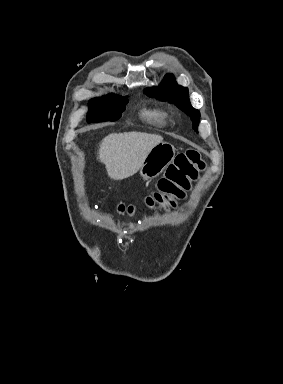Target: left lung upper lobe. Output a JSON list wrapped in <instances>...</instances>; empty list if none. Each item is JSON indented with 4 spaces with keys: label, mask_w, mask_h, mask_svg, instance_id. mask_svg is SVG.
<instances>
[{
    "label": "left lung upper lobe",
    "mask_w": 283,
    "mask_h": 384,
    "mask_svg": "<svg viewBox=\"0 0 283 384\" xmlns=\"http://www.w3.org/2000/svg\"><path fill=\"white\" fill-rule=\"evenodd\" d=\"M148 96L157 97L175 103L178 108L191 117L193 128L197 130L200 112L189 101L188 89L177 85L172 75H167L158 87L145 89Z\"/></svg>",
    "instance_id": "5c2ea615"
}]
</instances>
